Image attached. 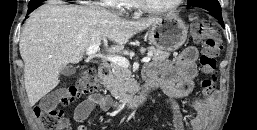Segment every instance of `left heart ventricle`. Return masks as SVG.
Masks as SVG:
<instances>
[{"label":"left heart ventricle","mask_w":257,"mask_h":130,"mask_svg":"<svg viewBox=\"0 0 257 130\" xmlns=\"http://www.w3.org/2000/svg\"><path fill=\"white\" fill-rule=\"evenodd\" d=\"M145 3L153 8H163L171 5L175 0H144Z\"/></svg>","instance_id":"b2bd125f"}]
</instances>
